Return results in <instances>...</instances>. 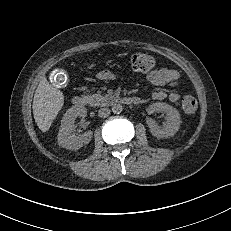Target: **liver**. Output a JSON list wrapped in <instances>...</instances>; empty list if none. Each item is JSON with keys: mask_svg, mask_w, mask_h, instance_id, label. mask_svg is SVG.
Instances as JSON below:
<instances>
[{"mask_svg": "<svg viewBox=\"0 0 231 231\" xmlns=\"http://www.w3.org/2000/svg\"><path fill=\"white\" fill-rule=\"evenodd\" d=\"M64 104L63 93L46 78L40 81L33 98V115L42 132H47Z\"/></svg>", "mask_w": 231, "mask_h": 231, "instance_id": "1", "label": "liver"}]
</instances>
